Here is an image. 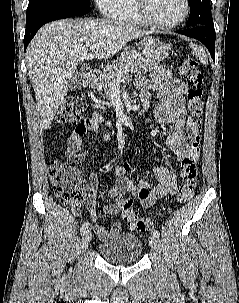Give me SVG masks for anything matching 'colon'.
<instances>
[{"instance_id":"5ec220e1","label":"colon","mask_w":239,"mask_h":303,"mask_svg":"<svg viewBox=\"0 0 239 303\" xmlns=\"http://www.w3.org/2000/svg\"><path fill=\"white\" fill-rule=\"evenodd\" d=\"M181 74L188 85L185 152L181 160L182 182L177 191L179 204L188 202L198 184V159L200 155L201 116L204 108L203 78L199 63L186 58L181 66ZM81 119L76 101L68 98L57 115L58 123L75 124ZM48 174L57 198L66 205L81 206L86 201L87 183L80 174V162L75 158L52 160L48 164ZM133 198L123 199L122 216L131 230L148 232L154 227L151 218H142L133 212Z\"/></svg>"}]
</instances>
